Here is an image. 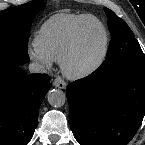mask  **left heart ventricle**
I'll return each instance as SVG.
<instances>
[{"mask_svg":"<svg viewBox=\"0 0 145 145\" xmlns=\"http://www.w3.org/2000/svg\"><path fill=\"white\" fill-rule=\"evenodd\" d=\"M103 42V32L100 26L90 21L83 31V47L78 58V64H86L100 52Z\"/></svg>","mask_w":145,"mask_h":145,"instance_id":"left-heart-ventricle-1","label":"left heart ventricle"}]
</instances>
